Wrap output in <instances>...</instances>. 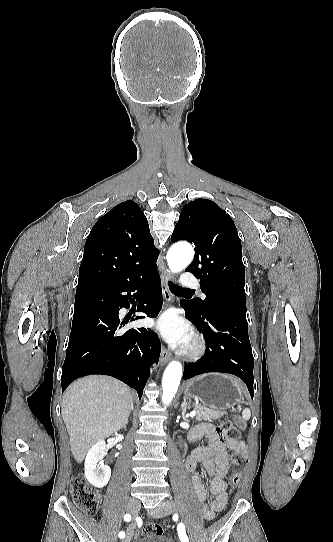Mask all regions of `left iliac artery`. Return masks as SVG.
I'll return each instance as SVG.
<instances>
[{"label":"left iliac artery","mask_w":333,"mask_h":542,"mask_svg":"<svg viewBox=\"0 0 333 542\" xmlns=\"http://www.w3.org/2000/svg\"><path fill=\"white\" fill-rule=\"evenodd\" d=\"M177 531H178V535H179V538L181 540V542H188L189 539L186 535V532H185V526L184 524L180 523L178 526H177Z\"/></svg>","instance_id":"obj_1"}]
</instances>
